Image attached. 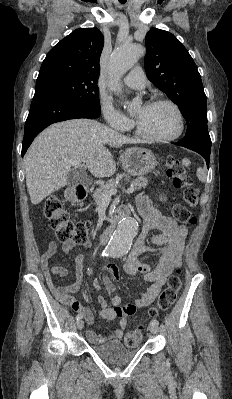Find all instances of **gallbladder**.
Instances as JSON below:
<instances>
[{
	"mask_svg": "<svg viewBox=\"0 0 232 399\" xmlns=\"http://www.w3.org/2000/svg\"><path fill=\"white\" fill-rule=\"evenodd\" d=\"M84 172H85V169L83 167L76 168L75 172H69V174L67 176L68 186H70V188H75V186H78L79 180H78L77 176L79 175V173L83 174Z\"/></svg>",
	"mask_w": 232,
	"mask_h": 399,
	"instance_id": "gallbladder-1",
	"label": "gallbladder"
}]
</instances>
